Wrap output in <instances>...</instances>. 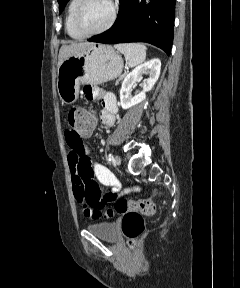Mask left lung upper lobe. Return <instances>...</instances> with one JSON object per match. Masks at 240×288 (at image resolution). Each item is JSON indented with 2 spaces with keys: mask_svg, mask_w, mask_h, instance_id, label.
Masks as SVG:
<instances>
[{
  "mask_svg": "<svg viewBox=\"0 0 240 288\" xmlns=\"http://www.w3.org/2000/svg\"><path fill=\"white\" fill-rule=\"evenodd\" d=\"M69 0H58L59 3V10L62 11L65 4L68 2Z\"/></svg>",
  "mask_w": 240,
  "mask_h": 288,
  "instance_id": "1",
  "label": "left lung upper lobe"
}]
</instances>
